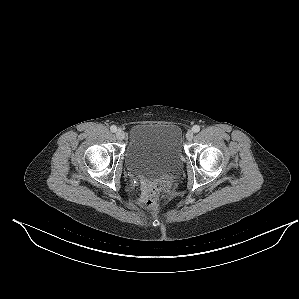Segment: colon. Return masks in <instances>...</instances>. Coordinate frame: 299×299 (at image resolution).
<instances>
[{
    "mask_svg": "<svg viewBox=\"0 0 299 299\" xmlns=\"http://www.w3.org/2000/svg\"><path fill=\"white\" fill-rule=\"evenodd\" d=\"M171 192V183L163 181L154 183L148 186L147 191V204L150 209H155L161 200L167 197Z\"/></svg>",
    "mask_w": 299,
    "mask_h": 299,
    "instance_id": "colon-1",
    "label": "colon"
}]
</instances>
